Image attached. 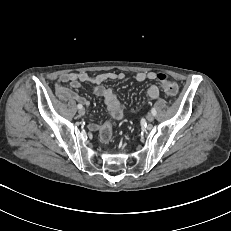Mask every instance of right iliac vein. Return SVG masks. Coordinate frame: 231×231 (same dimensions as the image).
<instances>
[{"label":"right iliac vein","mask_w":231,"mask_h":231,"mask_svg":"<svg viewBox=\"0 0 231 231\" xmlns=\"http://www.w3.org/2000/svg\"><path fill=\"white\" fill-rule=\"evenodd\" d=\"M78 113L79 115L83 116L85 114V109L84 108L79 109Z\"/></svg>","instance_id":"obj_1"}]
</instances>
